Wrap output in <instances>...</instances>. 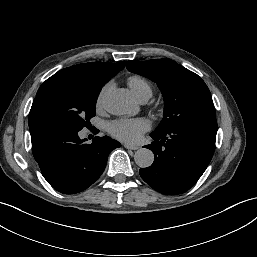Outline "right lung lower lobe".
<instances>
[{
  "label": "right lung lower lobe",
  "mask_w": 257,
  "mask_h": 257,
  "mask_svg": "<svg viewBox=\"0 0 257 257\" xmlns=\"http://www.w3.org/2000/svg\"><path fill=\"white\" fill-rule=\"evenodd\" d=\"M78 132L30 128L32 152L43 177L64 194L81 192L93 184L104 171L109 153L121 146L108 136H96L86 144Z\"/></svg>",
  "instance_id": "right-lung-lower-lobe-1"
}]
</instances>
